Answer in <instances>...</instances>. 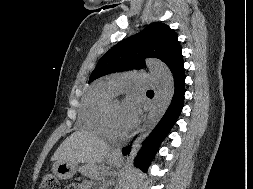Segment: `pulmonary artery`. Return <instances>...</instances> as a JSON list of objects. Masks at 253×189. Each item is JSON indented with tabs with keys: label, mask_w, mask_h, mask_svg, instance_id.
<instances>
[{
	"label": "pulmonary artery",
	"mask_w": 253,
	"mask_h": 189,
	"mask_svg": "<svg viewBox=\"0 0 253 189\" xmlns=\"http://www.w3.org/2000/svg\"><path fill=\"white\" fill-rule=\"evenodd\" d=\"M108 86L114 93L120 91L123 87L129 85H138L143 87H155L156 79L148 74H135V75H114L106 81Z\"/></svg>",
	"instance_id": "pulmonary-artery-1"
}]
</instances>
